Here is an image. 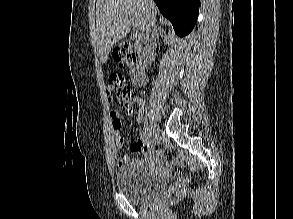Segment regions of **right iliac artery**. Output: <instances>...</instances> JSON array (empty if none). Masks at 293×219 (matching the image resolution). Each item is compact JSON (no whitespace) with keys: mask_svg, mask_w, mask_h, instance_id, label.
Returning a JSON list of instances; mask_svg holds the SVG:
<instances>
[{"mask_svg":"<svg viewBox=\"0 0 293 219\" xmlns=\"http://www.w3.org/2000/svg\"><path fill=\"white\" fill-rule=\"evenodd\" d=\"M145 134H146V136H148V137L150 136L149 129L146 131V133H145Z\"/></svg>","mask_w":293,"mask_h":219,"instance_id":"82829eb1","label":"right iliac artery"}]
</instances>
